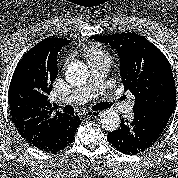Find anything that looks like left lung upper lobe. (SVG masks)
Instances as JSON below:
<instances>
[{"instance_id":"left-lung-upper-lobe-1","label":"left lung upper lobe","mask_w":178,"mask_h":178,"mask_svg":"<svg viewBox=\"0 0 178 178\" xmlns=\"http://www.w3.org/2000/svg\"><path fill=\"white\" fill-rule=\"evenodd\" d=\"M90 39L116 51L124 91L135 96L133 112L162 109L173 112L176 103L174 77L163 53L135 33L96 35Z\"/></svg>"}]
</instances>
